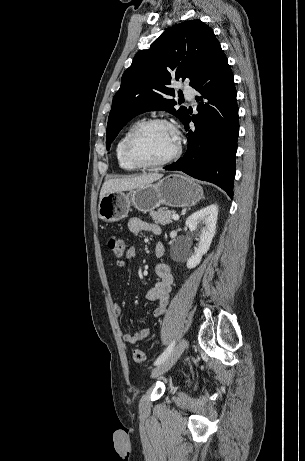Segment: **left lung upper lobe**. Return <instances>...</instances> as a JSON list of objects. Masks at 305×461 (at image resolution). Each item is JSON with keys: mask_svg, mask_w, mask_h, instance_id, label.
<instances>
[{"mask_svg": "<svg viewBox=\"0 0 305 461\" xmlns=\"http://www.w3.org/2000/svg\"><path fill=\"white\" fill-rule=\"evenodd\" d=\"M220 44L213 30L200 20L175 25L161 34L148 50L138 52L122 76L108 118L106 147L122 126L146 111L164 110L181 121L188 111L174 108L177 102L171 80H190V86L203 77L215 62Z\"/></svg>", "mask_w": 305, "mask_h": 461, "instance_id": "1", "label": "left lung upper lobe"}]
</instances>
